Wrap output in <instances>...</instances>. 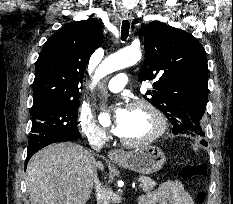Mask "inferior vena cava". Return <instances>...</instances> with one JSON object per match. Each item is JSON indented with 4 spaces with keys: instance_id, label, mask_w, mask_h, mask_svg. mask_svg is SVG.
I'll use <instances>...</instances> for the list:
<instances>
[{
    "instance_id": "obj_1",
    "label": "inferior vena cava",
    "mask_w": 233,
    "mask_h": 204,
    "mask_svg": "<svg viewBox=\"0 0 233 204\" xmlns=\"http://www.w3.org/2000/svg\"><path fill=\"white\" fill-rule=\"evenodd\" d=\"M89 143L95 151H100L105 144V140L103 139L102 136L96 135V136L90 138ZM91 169H92V171H97V169H98V159L97 158L93 159V166ZM94 183H95V189H96V193H97V201H98L97 204H105L107 194H106V191L103 188L101 182L99 181V178L97 177L96 172H94Z\"/></svg>"
}]
</instances>
